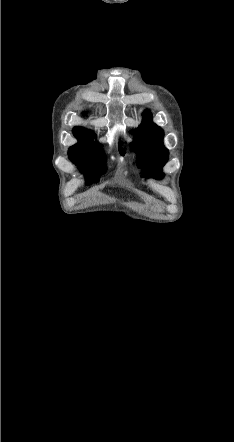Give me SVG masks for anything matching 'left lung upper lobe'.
I'll use <instances>...</instances> for the list:
<instances>
[{"instance_id": "1", "label": "left lung upper lobe", "mask_w": 234, "mask_h": 442, "mask_svg": "<svg viewBox=\"0 0 234 442\" xmlns=\"http://www.w3.org/2000/svg\"><path fill=\"white\" fill-rule=\"evenodd\" d=\"M143 123L134 131L133 150L136 162L142 168V177H162L161 168L168 160V150L163 146V130L151 121V114L145 111ZM122 155L123 149H119Z\"/></svg>"}]
</instances>
